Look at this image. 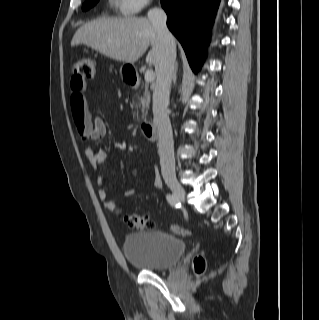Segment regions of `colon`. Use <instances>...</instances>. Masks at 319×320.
I'll return each instance as SVG.
<instances>
[{
	"instance_id": "5ec220e1",
	"label": "colon",
	"mask_w": 319,
	"mask_h": 320,
	"mask_svg": "<svg viewBox=\"0 0 319 320\" xmlns=\"http://www.w3.org/2000/svg\"><path fill=\"white\" fill-rule=\"evenodd\" d=\"M74 77L80 82H86L94 79L96 75V62L92 58H81L74 63L73 67ZM74 123L76 125L77 133L81 141L86 142L93 138L92 127L83 114H73ZM123 222L129 229L138 230L153 227L152 222L148 216L138 215L136 213L123 214ZM171 231L174 234L188 236L190 231L178 225H172ZM206 267L205 260L202 257H197L193 261V268L195 272L200 275L204 272Z\"/></svg>"
}]
</instances>
